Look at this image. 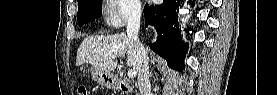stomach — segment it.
Masks as SVG:
<instances>
[{
  "mask_svg": "<svg viewBox=\"0 0 277 95\" xmlns=\"http://www.w3.org/2000/svg\"><path fill=\"white\" fill-rule=\"evenodd\" d=\"M88 70L91 72L93 79L98 84L107 88L115 86V78L111 72H104L93 66H90Z\"/></svg>",
  "mask_w": 277,
  "mask_h": 95,
  "instance_id": "0dacf381",
  "label": "stomach"
}]
</instances>
